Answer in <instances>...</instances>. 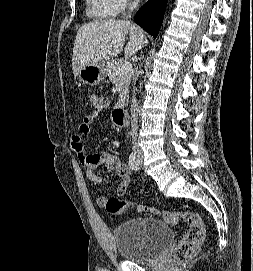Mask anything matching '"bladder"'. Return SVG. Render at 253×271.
<instances>
[{"instance_id":"bladder-1","label":"bladder","mask_w":253,"mask_h":271,"mask_svg":"<svg viewBox=\"0 0 253 271\" xmlns=\"http://www.w3.org/2000/svg\"><path fill=\"white\" fill-rule=\"evenodd\" d=\"M172 239V228L155 218H134L119 225L115 231L119 255L137 263L155 261Z\"/></svg>"}]
</instances>
